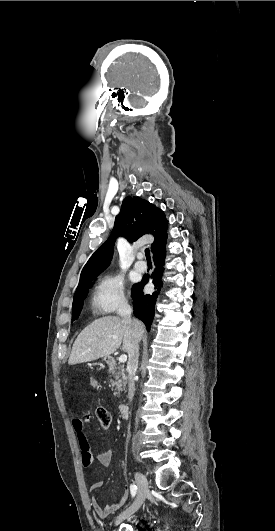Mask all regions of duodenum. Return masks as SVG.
Listing matches in <instances>:
<instances>
[{"label":"duodenum","instance_id":"obj_1","mask_svg":"<svg viewBox=\"0 0 275 531\" xmlns=\"http://www.w3.org/2000/svg\"><path fill=\"white\" fill-rule=\"evenodd\" d=\"M106 362L108 363L109 367L115 368L116 367V360L113 356H108L105 358ZM119 412L122 417H125L128 413V405L126 403H121L119 406Z\"/></svg>","mask_w":275,"mask_h":531}]
</instances>
